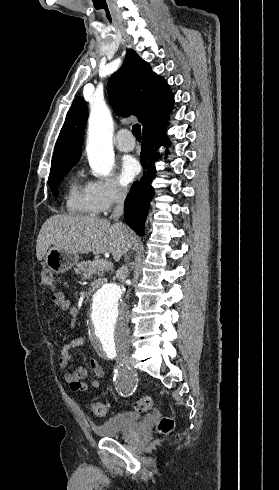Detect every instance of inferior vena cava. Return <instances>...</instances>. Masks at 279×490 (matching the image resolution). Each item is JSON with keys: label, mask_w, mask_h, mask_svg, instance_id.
<instances>
[{"label": "inferior vena cava", "mask_w": 279, "mask_h": 490, "mask_svg": "<svg viewBox=\"0 0 279 490\" xmlns=\"http://www.w3.org/2000/svg\"><path fill=\"white\" fill-rule=\"evenodd\" d=\"M125 196H126V192L124 190V188H120V186H118L116 192H115V204H116V208H114L110 218L111 220H114L116 226H120V228H122L123 224H119V218L120 216H122L123 214V208H124V200H125ZM121 236H124V234H126V232H120ZM128 248H130V244L128 246ZM128 252V250H127ZM126 254V252H125ZM125 260L127 262V260H130L129 256H125ZM128 266H126V264H124V266H122V268H119L118 270V278L120 280V282H125L126 278H128Z\"/></svg>", "instance_id": "1"}]
</instances>
